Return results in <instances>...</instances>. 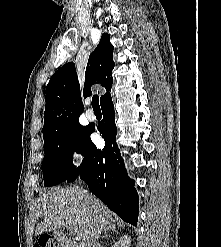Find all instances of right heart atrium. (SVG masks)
Returning <instances> with one entry per match:
<instances>
[{
  "mask_svg": "<svg viewBox=\"0 0 221 247\" xmlns=\"http://www.w3.org/2000/svg\"><path fill=\"white\" fill-rule=\"evenodd\" d=\"M71 157H72L73 161L78 165V164H80V162L82 160V153L80 150L73 148L71 150Z\"/></svg>",
  "mask_w": 221,
  "mask_h": 247,
  "instance_id": "1",
  "label": "right heart atrium"
}]
</instances>
